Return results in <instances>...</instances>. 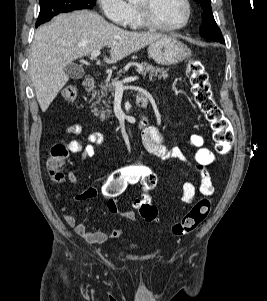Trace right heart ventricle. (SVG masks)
<instances>
[{
    "label": "right heart ventricle",
    "mask_w": 267,
    "mask_h": 301,
    "mask_svg": "<svg viewBox=\"0 0 267 301\" xmlns=\"http://www.w3.org/2000/svg\"><path fill=\"white\" fill-rule=\"evenodd\" d=\"M129 25L134 29H141V28L145 27L139 20V17H138V14H137V11L135 8H133V15H132Z\"/></svg>",
    "instance_id": "right-heart-ventricle-1"
}]
</instances>
